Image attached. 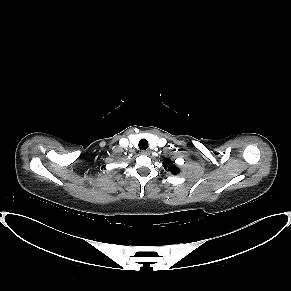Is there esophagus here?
I'll list each match as a JSON object with an SVG mask.
<instances>
[{
    "mask_svg": "<svg viewBox=\"0 0 291 291\" xmlns=\"http://www.w3.org/2000/svg\"><path fill=\"white\" fill-rule=\"evenodd\" d=\"M143 155H149L150 154V150H144L141 152Z\"/></svg>",
    "mask_w": 291,
    "mask_h": 291,
    "instance_id": "obj_1",
    "label": "esophagus"
}]
</instances>
